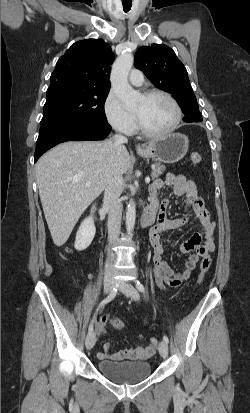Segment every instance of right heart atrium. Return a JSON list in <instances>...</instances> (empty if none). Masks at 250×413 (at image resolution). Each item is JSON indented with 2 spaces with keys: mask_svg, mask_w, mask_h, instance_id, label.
I'll use <instances>...</instances> for the list:
<instances>
[{
  "mask_svg": "<svg viewBox=\"0 0 250 413\" xmlns=\"http://www.w3.org/2000/svg\"><path fill=\"white\" fill-rule=\"evenodd\" d=\"M103 112L108 124L116 131L130 135L136 129V118L128 111L114 91H109L104 103Z\"/></svg>",
  "mask_w": 250,
  "mask_h": 413,
  "instance_id": "d8ad5b80",
  "label": "right heart atrium"
}]
</instances>
